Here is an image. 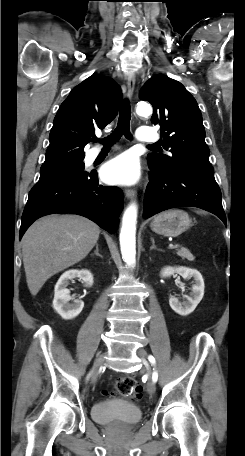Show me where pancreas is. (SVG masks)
I'll use <instances>...</instances> for the list:
<instances>
[{"mask_svg": "<svg viewBox=\"0 0 245 456\" xmlns=\"http://www.w3.org/2000/svg\"><path fill=\"white\" fill-rule=\"evenodd\" d=\"M177 255L182 257V259H187L189 261H193L195 259V257L191 254V252L184 247H181L180 249H178Z\"/></svg>", "mask_w": 245, "mask_h": 456, "instance_id": "1", "label": "pancreas"}]
</instances>
